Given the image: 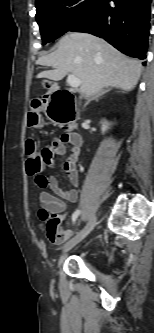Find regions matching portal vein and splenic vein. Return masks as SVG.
I'll list each match as a JSON object with an SVG mask.
<instances>
[{
  "mask_svg": "<svg viewBox=\"0 0 154 333\" xmlns=\"http://www.w3.org/2000/svg\"><path fill=\"white\" fill-rule=\"evenodd\" d=\"M67 82L72 88H77L81 84L80 80L73 74L68 75Z\"/></svg>",
  "mask_w": 154,
  "mask_h": 333,
  "instance_id": "18ae733b",
  "label": "portal vein and splenic vein"
}]
</instances>
